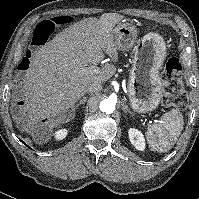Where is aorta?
Wrapping results in <instances>:
<instances>
[{
	"instance_id": "1",
	"label": "aorta",
	"mask_w": 199,
	"mask_h": 199,
	"mask_svg": "<svg viewBox=\"0 0 199 199\" xmlns=\"http://www.w3.org/2000/svg\"><path fill=\"white\" fill-rule=\"evenodd\" d=\"M99 108L106 114H111L115 110V103L110 99H104L100 102Z\"/></svg>"
}]
</instances>
